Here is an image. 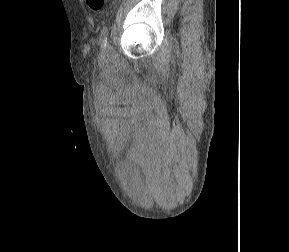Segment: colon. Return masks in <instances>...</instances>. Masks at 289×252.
<instances>
[{
  "instance_id": "1",
  "label": "colon",
  "mask_w": 289,
  "mask_h": 252,
  "mask_svg": "<svg viewBox=\"0 0 289 252\" xmlns=\"http://www.w3.org/2000/svg\"><path fill=\"white\" fill-rule=\"evenodd\" d=\"M87 6L94 12H99L105 3V0H85Z\"/></svg>"
}]
</instances>
